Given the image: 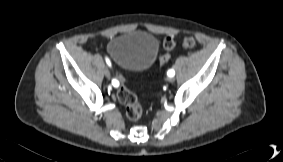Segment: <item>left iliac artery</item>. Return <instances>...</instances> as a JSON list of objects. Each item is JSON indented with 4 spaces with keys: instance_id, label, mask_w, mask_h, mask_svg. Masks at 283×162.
I'll return each mask as SVG.
<instances>
[{
    "instance_id": "left-iliac-artery-1",
    "label": "left iliac artery",
    "mask_w": 283,
    "mask_h": 162,
    "mask_svg": "<svg viewBox=\"0 0 283 162\" xmlns=\"http://www.w3.org/2000/svg\"><path fill=\"white\" fill-rule=\"evenodd\" d=\"M167 75L169 77H173L175 75V71L173 69H170L168 72H167Z\"/></svg>"
}]
</instances>
